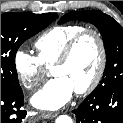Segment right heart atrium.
<instances>
[{
	"label": "right heart atrium",
	"mask_w": 123,
	"mask_h": 123,
	"mask_svg": "<svg viewBox=\"0 0 123 123\" xmlns=\"http://www.w3.org/2000/svg\"><path fill=\"white\" fill-rule=\"evenodd\" d=\"M14 69L21 84L28 90L35 89L45 75V66L37 56L19 48L13 57Z\"/></svg>",
	"instance_id": "right-heart-atrium-1"
}]
</instances>
